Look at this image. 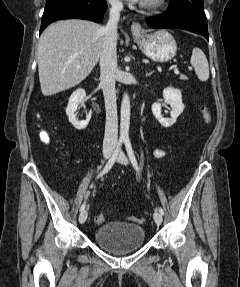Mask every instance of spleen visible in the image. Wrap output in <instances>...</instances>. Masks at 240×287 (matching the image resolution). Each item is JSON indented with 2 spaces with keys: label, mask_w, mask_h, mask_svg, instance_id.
<instances>
[{
  "label": "spleen",
  "mask_w": 240,
  "mask_h": 287,
  "mask_svg": "<svg viewBox=\"0 0 240 287\" xmlns=\"http://www.w3.org/2000/svg\"><path fill=\"white\" fill-rule=\"evenodd\" d=\"M190 63L194 67L195 73L200 81L204 82L209 79L208 61L205 54L200 48L195 47L192 50Z\"/></svg>",
  "instance_id": "1"
}]
</instances>
